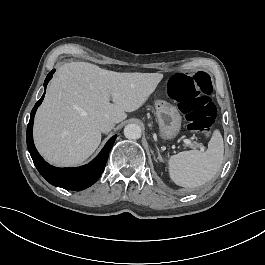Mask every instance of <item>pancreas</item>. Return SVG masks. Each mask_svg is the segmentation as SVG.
Here are the masks:
<instances>
[{"label":"pancreas","mask_w":265,"mask_h":265,"mask_svg":"<svg viewBox=\"0 0 265 265\" xmlns=\"http://www.w3.org/2000/svg\"><path fill=\"white\" fill-rule=\"evenodd\" d=\"M200 144H197V143H192L190 144V147H195V146H199Z\"/></svg>","instance_id":"cf45deb5"}]
</instances>
